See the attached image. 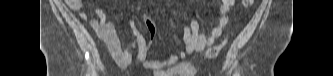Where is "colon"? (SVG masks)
I'll return each instance as SVG.
<instances>
[{"label":"colon","instance_id":"colon-1","mask_svg":"<svg viewBox=\"0 0 333 76\" xmlns=\"http://www.w3.org/2000/svg\"><path fill=\"white\" fill-rule=\"evenodd\" d=\"M252 0H244L243 5L245 7H250L252 5ZM223 46V43L215 45L207 50V57L208 58H214L217 56V54L220 52L221 48Z\"/></svg>","mask_w":333,"mask_h":76}]
</instances>
